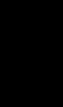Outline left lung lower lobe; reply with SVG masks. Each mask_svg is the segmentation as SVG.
<instances>
[{
  "label": "left lung lower lobe",
  "instance_id": "left-lung-lower-lobe-1",
  "mask_svg": "<svg viewBox=\"0 0 63 107\" xmlns=\"http://www.w3.org/2000/svg\"><path fill=\"white\" fill-rule=\"evenodd\" d=\"M59 33L50 36L51 46L46 49L47 64L49 67L63 74V32L61 31L62 23L59 24Z\"/></svg>",
  "mask_w": 63,
  "mask_h": 107
}]
</instances>
